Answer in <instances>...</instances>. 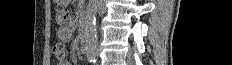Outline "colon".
I'll use <instances>...</instances> for the list:
<instances>
[{
    "label": "colon",
    "mask_w": 232,
    "mask_h": 65,
    "mask_svg": "<svg viewBox=\"0 0 232 65\" xmlns=\"http://www.w3.org/2000/svg\"><path fill=\"white\" fill-rule=\"evenodd\" d=\"M53 53L58 63L64 62L68 57V50L62 43H58L54 46Z\"/></svg>",
    "instance_id": "colon-1"
}]
</instances>
